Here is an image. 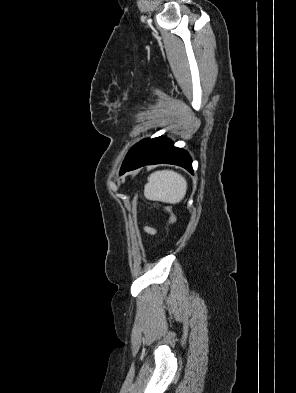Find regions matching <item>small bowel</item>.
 <instances>
[{
	"instance_id": "1",
	"label": "small bowel",
	"mask_w": 296,
	"mask_h": 393,
	"mask_svg": "<svg viewBox=\"0 0 296 393\" xmlns=\"http://www.w3.org/2000/svg\"><path fill=\"white\" fill-rule=\"evenodd\" d=\"M145 230L149 234H155L156 233V229L152 228V227H146Z\"/></svg>"
}]
</instances>
